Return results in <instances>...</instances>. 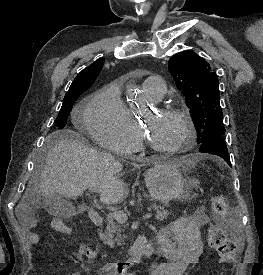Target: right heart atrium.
<instances>
[{
    "label": "right heart atrium",
    "instance_id": "obj_1",
    "mask_svg": "<svg viewBox=\"0 0 263 275\" xmlns=\"http://www.w3.org/2000/svg\"><path fill=\"white\" fill-rule=\"evenodd\" d=\"M84 122L94 141L112 152L125 154L140 143L139 126L116 87H105L92 96L84 112Z\"/></svg>",
    "mask_w": 263,
    "mask_h": 275
}]
</instances>
